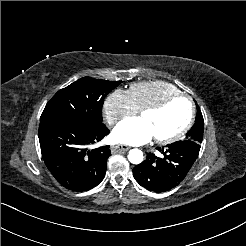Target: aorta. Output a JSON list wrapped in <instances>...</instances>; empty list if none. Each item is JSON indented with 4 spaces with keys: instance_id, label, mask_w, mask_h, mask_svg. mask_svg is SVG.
Instances as JSON below:
<instances>
[{
    "instance_id": "aorta-1",
    "label": "aorta",
    "mask_w": 246,
    "mask_h": 246,
    "mask_svg": "<svg viewBox=\"0 0 246 246\" xmlns=\"http://www.w3.org/2000/svg\"><path fill=\"white\" fill-rule=\"evenodd\" d=\"M128 160L132 164H140L143 161V152L139 149H131L128 154Z\"/></svg>"
}]
</instances>
